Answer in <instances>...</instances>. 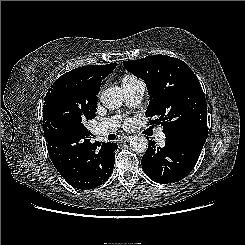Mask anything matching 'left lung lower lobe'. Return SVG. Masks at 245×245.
<instances>
[{
	"instance_id": "0a47b994",
	"label": "left lung lower lobe",
	"mask_w": 245,
	"mask_h": 245,
	"mask_svg": "<svg viewBox=\"0 0 245 245\" xmlns=\"http://www.w3.org/2000/svg\"><path fill=\"white\" fill-rule=\"evenodd\" d=\"M206 138L189 136L166 138L165 147L149 142L141 165L145 174L161 184L174 183L185 178L196 165Z\"/></svg>"
}]
</instances>
